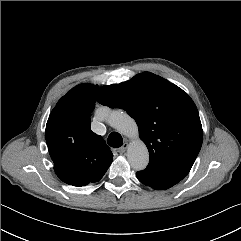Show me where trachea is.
Instances as JSON below:
<instances>
[{"mask_svg":"<svg viewBox=\"0 0 241 241\" xmlns=\"http://www.w3.org/2000/svg\"><path fill=\"white\" fill-rule=\"evenodd\" d=\"M108 145L114 148L121 147L123 145V138L117 132H112L108 136Z\"/></svg>","mask_w":241,"mask_h":241,"instance_id":"3493384b","label":"trachea"}]
</instances>
